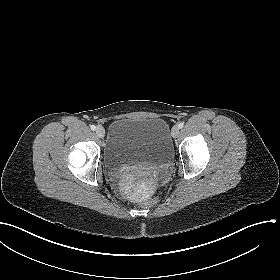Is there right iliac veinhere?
<instances>
[{"mask_svg":"<svg viewBox=\"0 0 280 280\" xmlns=\"http://www.w3.org/2000/svg\"><path fill=\"white\" fill-rule=\"evenodd\" d=\"M96 134H97L100 138H103L104 135H105V130H104V128L101 127V126H98V127L96 128Z\"/></svg>","mask_w":280,"mask_h":280,"instance_id":"obj_1","label":"right iliac vein"}]
</instances>
